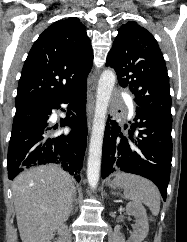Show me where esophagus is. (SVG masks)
<instances>
[{
    "mask_svg": "<svg viewBox=\"0 0 187 242\" xmlns=\"http://www.w3.org/2000/svg\"><path fill=\"white\" fill-rule=\"evenodd\" d=\"M93 110H94V97L91 89L87 92V119H88V127L90 129L91 126V119L93 116Z\"/></svg>",
    "mask_w": 187,
    "mask_h": 242,
    "instance_id": "1",
    "label": "esophagus"
}]
</instances>
